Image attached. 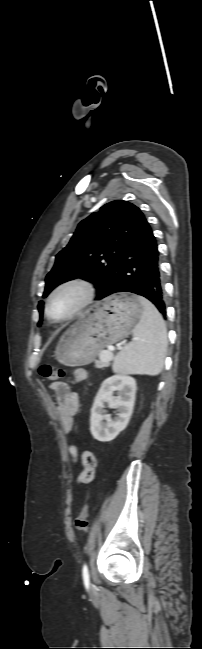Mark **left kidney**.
Returning <instances> with one entry per match:
<instances>
[{"instance_id": "obj_1", "label": "left kidney", "mask_w": 202, "mask_h": 649, "mask_svg": "<svg viewBox=\"0 0 202 649\" xmlns=\"http://www.w3.org/2000/svg\"><path fill=\"white\" fill-rule=\"evenodd\" d=\"M136 389V380L126 375L116 374L102 382L91 408L90 431L95 439L111 441L126 428L133 412ZM105 404L117 409V417L111 419L105 415Z\"/></svg>"}]
</instances>
